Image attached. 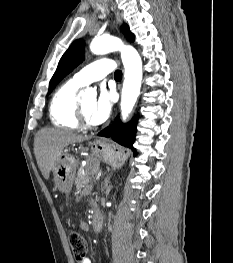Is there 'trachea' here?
<instances>
[{"mask_svg":"<svg viewBox=\"0 0 233 263\" xmlns=\"http://www.w3.org/2000/svg\"><path fill=\"white\" fill-rule=\"evenodd\" d=\"M114 78L116 80H120L122 78V71L121 70H116L114 73Z\"/></svg>","mask_w":233,"mask_h":263,"instance_id":"trachea-1","label":"trachea"}]
</instances>
